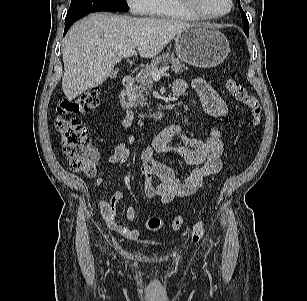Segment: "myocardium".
Segmentation results:
<instances>
[{"mask_svg": "<svg viewBox=\"0 0 307 301\" xmlns=\"http://www.w3.org/2000/svg\"><path fill=\"white\" fill-rule=\"evenodd\" d=\"M178 5L192 16L203 20H215L227 16L234 7V0H229V7L222 13H212L201 8L196 0H176Z\"/></svg>", "mask_w": 307, "mask_h": 301, "instance_id": "myocardium-1", "label": "myocardium"}]
</instances>
